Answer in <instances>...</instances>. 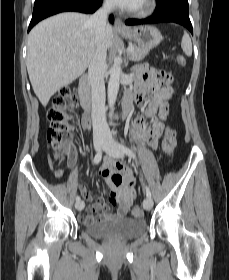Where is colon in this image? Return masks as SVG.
I'll list each match as a JSON object with an SVG mask.
<instances>
[{
  "mask_svg": "<svg viewBox=\"0 0 229 280\" xmlns=\"http://www.w3.org/2000/svg\"><path fill=\"white\" fill-rule=\"evenodd\" d=\"M177 64L183 66L186 63V59L182 54H178L175 57ZM156 80L163 85H170L173 82L172 73L165 69H155ZM75 99L74 89L65 87L53 97L52 107L48 111V120L50 122L46 139L48 144L54 151V162L56 164L62 163L65 154L72 149L70 142V120L73 116L70 115V109L72 102ZM177 146V134L176 130L172 127H168L165 131V135L162 140V149L165 154L171 156ZM112 181L115 185H120L124 181V177L120 174H114ZM117 200L116 194L111 193L109 196V202L114 204ZM133 213L137 217L144 215V212L140 206H136L133 209Z\"/></svg>",
  "mask_w": 229,
  "mask_h": 280,
  "instance_id": "5ec220e1",
  "label": "colon"
}]
</instances>
